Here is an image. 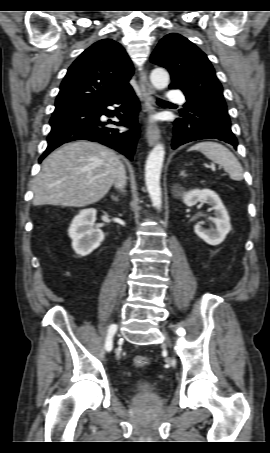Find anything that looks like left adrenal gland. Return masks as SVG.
Instances as JSON below:
<instances>
[{"label":"left adrenal gland","instance_id":"left-adrenal-gland-1","mask_svg":"<svg viewBox=\"0 0 270 453\" xmlns=\"http://www.w3.org/2000/svg\"><path fill=\"white\" fill-rule=\"evenodd\" d=\"M179 175H180V176H184V177H186V176H187V174L185 173V170H182V171L180 172V174H179Z\"/></svg>","mask_w":270,"mask_h":453}]
</instances>
